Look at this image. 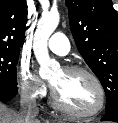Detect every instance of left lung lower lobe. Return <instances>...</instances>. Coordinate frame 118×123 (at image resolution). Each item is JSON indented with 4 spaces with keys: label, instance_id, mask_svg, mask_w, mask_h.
<instances>
[{
    "label": "left lung lower lobe",
    "instance_id": "obj_1",
    "mask_svg": "<svg viewBox=\"0 0 118 123\" xmlns=\"http://www.w3.org/2000/svg\"><path fill=\"white\" fill-rule=\"evenodd\" d=\"M102 121H114V122H118V111H114L112 113L106 114L102 118Z\"/></svg>",
    "mask_w": 118,
    "mask_h": 123
}]
</instances>
